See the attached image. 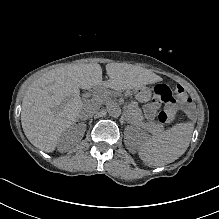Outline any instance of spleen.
I'll return each mask as SVG.
<instances>
[{
	"label": "spleen",
	"mask_w": 219,
	"mask_h": 219,
	"mask_svg": "<svg viewBox=\"0 0 219 219\" xmlns=\"http://www.w3.org/2000/svg\"><path fill=\"white\" fill-rule=\"evenodd\" d=\"M193 130L194 124L187 122L154 133L152 137L138 141V155L149 166L172 163L187 150Z\"/></svg>",
	"instance_id": "1"
}]
</instances>
